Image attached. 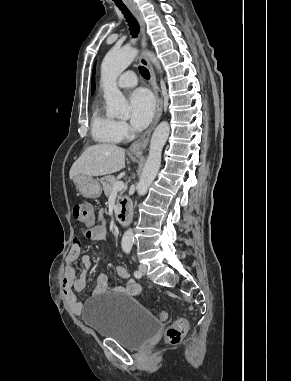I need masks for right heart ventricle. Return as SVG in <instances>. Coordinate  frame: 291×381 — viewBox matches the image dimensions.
Here are the masks:
<instances>
[{"label": "right heart ventricle", "mask_w": 291, "mask_h": 381, "mask_svg": "<svg viewBox=\"0 0 291 381\" xmlns=\"http://www.w3.org/2000/svg\"><path fill=\"white\" fill-rule=\"evenodd\" d=\"M91 133L93 138L103 144H116L123 140L118 121L95 106L91 115Z\"/></svg>", "instance_id": "e07e8e85"}]
</instances>
